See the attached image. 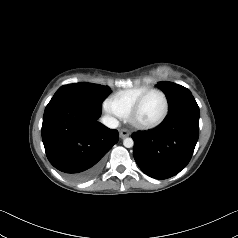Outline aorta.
Masks as SVG:
<instances>
[{"label": "aorta", "instance_id": "aorta-1", "mask_svg": "<svg viewBox=\"0 0 238 238\" xmlns=\"http://www.w3.org/2000/svg\"><path fill=\"white\" fill-rule=\"evenodd\" d=\"M123 145L126 147V148H131L134 146V141L132 138H125L123 140Z\"/></svg>", "mask_w": 238, "mask_h": 238}]
</instances>
